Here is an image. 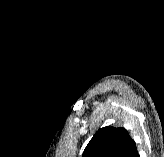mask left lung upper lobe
<instances>
[{
    "instance_id": "1",
    "label": "left lung upper lobe",
    "mask_w": 164,
    "mask_h": 157,
    "mask_svg": "<svg viewBox=\"0 0 164 157\" xmlns=\"http://www.w3.org/2000/svg\"><path fill=\"white\" fill-rule=\"evenodd\" d=\"M134 145L126 129L103 127L90 140L82 157H128Z\"/></svg>"
}]
</instances>
